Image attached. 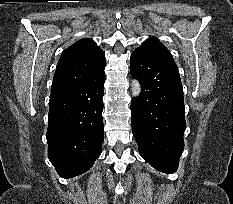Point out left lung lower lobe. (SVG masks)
Listing matches in <instances>:
<instances>
[{
  "label": "left lung lower lobe",
  "mask_w": 233,
  "mask_h": 204,
  "mask_svg": "<svg viewBox=\"0 0 233 204\" xmlns=\"http://www.w3.org/2000/svg\"><path fill=\"white\" fill-rule=\"evenodd\" d=\"M130 71L142 89L131 103L132 132L139 153L157 170L173 173L183 152L186 128L178 68L174 60L136 49Z\"/></svg>",
  "instance_id": "left-lung-lower-lobe-1"
}]
</instances>
